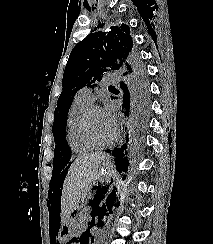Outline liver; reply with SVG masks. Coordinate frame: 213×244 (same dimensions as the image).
Wrapping results in <instances>:
<instances>
[{"label": "liver", "instance_id": "1", "mask_svg": "<svg viewBox=\"0 0 213 244\" xmlns=\"http://www.w3.org/2000/svg\"><path fill=\"white\" fill-rule=\"evenodd\" d=\"M106 154L95 152L83 154L71 164L63 183L61 195V218L65 221L95 183L100 164Z\"/></svg>", "mask_w": 213, "mask_h": 244}]
</instances>
